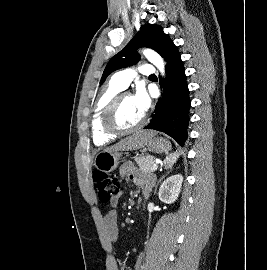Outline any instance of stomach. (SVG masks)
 <instances>
[{
	"label": "stomach",
	"instance_id": "stomach-1",
	"mask_svg": "<svg viewBox=\"0 0 267 270\" xmlns=\"http://www.w3.org/2000/svg\"><path fill=\"white\" fill-rule=\"evenodd\" d=\"M145 145L149 151L154 153L168 152L171 149V144L168 140L155 135L150 136ZM122 159V152L103 150L95 156L94 166L102 172L109 173L119 166Z\"/></svg>",
	"mask_w": 267,
	"mask_h": 270
}]
</instances>
